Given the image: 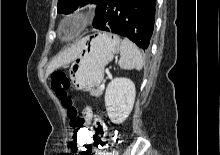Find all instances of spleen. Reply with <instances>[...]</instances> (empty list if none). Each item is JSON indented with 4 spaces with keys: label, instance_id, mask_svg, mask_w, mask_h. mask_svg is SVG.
Here are the masks:
<instances>
[{
    "label": "spleen",
    "instance_id": "spleen-1",
    "mask_svg": "<svg viewBox=\"0 0 220 155\" xmlns=\"http://www.w3.org/2000/svg\"><path fill=\"white\" fill-rule=\"evenodd\" d=\"M143 64L144 60L137 46L130 40L123 39L120 46V68L141 70Z\"/></svg>",
    "mask_w": 220,
    "mask_h": 155
}]
</instances>
